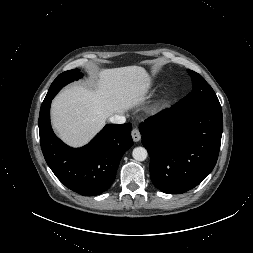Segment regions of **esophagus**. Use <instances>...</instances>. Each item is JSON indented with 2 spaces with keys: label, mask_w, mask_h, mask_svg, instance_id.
I'll use <instances>...</instances> for the list:
<instances>
[{
  "label": "esophagus",
  "mask_w": 253,
  "mask_h": 253,
  "mask_svg": "<svg viewBox=\"0 0 253 253\" xmlns=\"http://www.w3.org/2000/svg\"><path fill=\"white\" fill-rule=\"evenodd\" d=\"M131 136L134 142H138L141 139V134L137 128H134L131 132Z\"/></svg>",
  "instance_id": "34e87169"
}]
</instances>
